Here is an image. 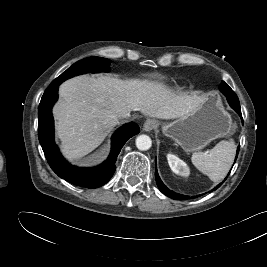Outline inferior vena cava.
Returning a JSON list of instances; mask_svg holds the SVG:
<instances>
[{
	"label": "inferior vena cava",
	"instance_id": "inferior-vena-cava-1",
	"mask_svg": "<svg viewBox=\"0 0 267 267\" xmlns=\"http://www.w3.org/2000/svg\"><path fill=\"white\" fill-rule=\"evenodd\" d=\"M129 116H130L129 112L128 113H124V114L121 115L122 118H126V117H129Z\"/></svg>",
	"mask_w": 267,
	"mask_h": 267
}]
</instances>
